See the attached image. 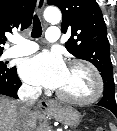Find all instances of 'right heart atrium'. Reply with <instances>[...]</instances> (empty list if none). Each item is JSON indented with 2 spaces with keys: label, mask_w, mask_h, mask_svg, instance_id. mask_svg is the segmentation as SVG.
I'll list each match as a JSON object with an SVG mask.
<instances>
[{
  "label": "right heart atrium",
  "mask_w": 117,
  "mask_h": 131,
  "mask_svg": "<svg viewBox=\"0 0 117 131\" xmlns=\"http://www.w3.org/2000/svg\"><path fill=\"white\" fill-rule=\"evenodd\" d=\"M25 90L29 91V92H35L36 88L34 86L31 85H25L24 86Z\"/></svg>",
  "instance_id": "1"
}]
</instances>
